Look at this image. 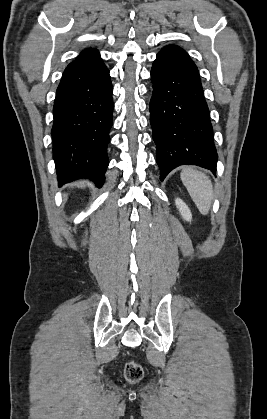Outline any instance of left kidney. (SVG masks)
Segmentation results:
<instances>
[{
	"mask_svg": "<svg viewBox=\"0 0 267 419\" xmlns=\"http://www.w3.org/2000/svg\"><path fill=\"white\" fill-rule=\"evenodd\" d=\"M175 203H176V207L178 208L181 216L184 218V220L186 221H191L192 219V214L191 211L189 209V207L183 202V200H181L180 198H176L175 199Z\"/></svg>",
	"mask_w": 267,
	"mask_h": 419,
	"instance_id": "left-kidney-1",
	"label": "left kidney"
}]
</instances>
